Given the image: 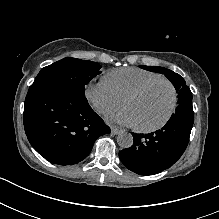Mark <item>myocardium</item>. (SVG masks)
Listing matches in <instances>:
<instances>
[{
  "mask_svg": "<svg viewBox=\"0 0 219 219\" xmlns=\"http://www.w3.org/2000/svg\"><path fill=\"white\" fill-rule=\"evenodd\" d=\"M161 82H164V83H167L170 88H171V91H172V99H171V103H170V106H169V109L165 115V117L163 118V120L154 125V126H149V127H142V126H135L136 130L139 131V132H153V131H157L161 128H163L167 122L170 120L174 110H175V107H176V102H177V91H176V88L174 86V84L167 78H158V79H153L151 81H148L144 84H142L141 86H139L137 89L133 90L132 92H130L126 97L125 99L123 100V107L126 109V103L128 101H130L131 99L141 95L143 92H145L148 88H150L151 86L157 84V83H161Z\"/></svg>",
  "mask_w": 219,
  "mask_h": 219,
  "instance_id": "obj_1",
  "label": "myocardium"
}]
</instances>
